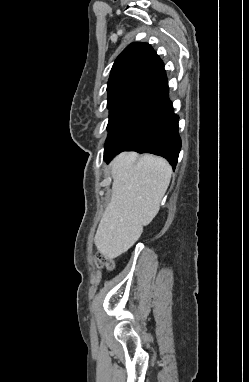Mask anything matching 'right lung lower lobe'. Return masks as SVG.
Segmentation results:
<instances>
[{
  "label": "right lung lower lobe",
  "instance_id": "right-lung-lower-lobe-1",
  "mask_svg": "<svg viewBox=\"0 0 249 382\" xmlns=\"http://www.w3.org/2000/svg\"><path fill=\"white\" fill-rule=\"evenodd\" d=\"M178 120L167 92L124 133L105 144L104 158L109 161L122 151L151 153L166 158L175 169L181 149Z\"/></svg>",
  "mask_w": 249,
  "mask_h": 382
}]
</instances>
